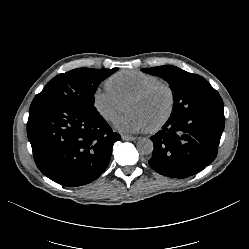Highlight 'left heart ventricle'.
Returning <instances> with one entry per match:
<instances>
[{
  "label": "left heart ventricle",
  "instance_id": "obj_1",
  "mask_svg": "<svg viewBox=\"0 0 249 249\" xmlns=\"http://www.w3.org/2000/svg\"><path fill=\"white\" fill-rule=\"evenodd\" d=\"M168 105L166 93L158 89L143 99L128 102V111L139 113L150 128L156 125L165 115Z\"/></svg>",
  "mask_w": 249,
  "mask_h": 249
}]
</instances>
